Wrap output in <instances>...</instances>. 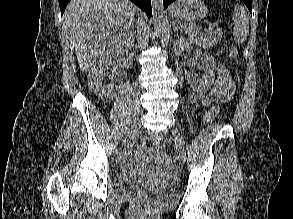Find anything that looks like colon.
Wrapping results in <instances>:
<instances>
[{
    "mask_svg": "<svg viewBox=\"0 0 293 219\" xmlns=\"http://www.w3.org/2000/svg\"><path fill=\"white\" fill-rule=\"evenodd\" d=\"M238 48L233 46L229 50V57L233 61H237L238 59ZM218 106H212L206 113V121L208 123L212 122L218 113ZM146 142L148 144L154 145L158 148H163L166 145V138L161 133L152 132L150 133L147 138Z\"/></svg>",
    "mask_w": 293,
    "mask_h": 219,
    "instance_id": "5ec220e1",
    "label": "colon"
}]
</instances>
